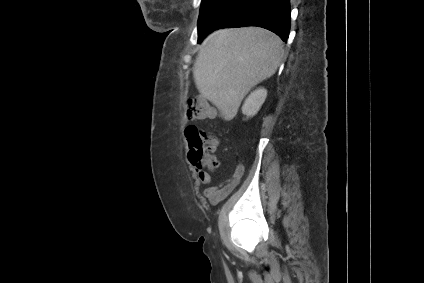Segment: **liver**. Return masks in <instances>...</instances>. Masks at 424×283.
<instances>
[{"mask_svg":"<svg viewBox=\"0 0 424 283\" xmlns=\"http://www.w3.org/2000/svg\"><path fill=\"white\" fill-rule=\"evenodd\" d=\"M282 47L278 35L260 27L214 31L194 63L196 87L225 120H231L248 92L275 74Z\"/></svg>","mask_w":424,"mask_h":283,"instance_id":"6515ba94","label":"liver"}]
</instances>
